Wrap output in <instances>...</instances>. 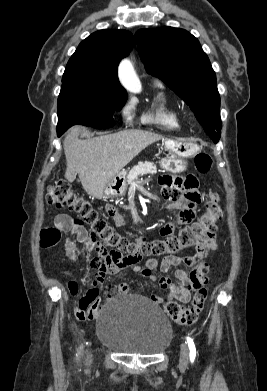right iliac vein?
<instances>
[{
	"label": "right iliac vein",
	"instance_id": "obj_1",
	"mask_svg": "<svg viewBox=\"0 0 267 391\" xmlns=\"http://www.w3.org/2000/svg\"><path fill=\"white\" fill-rule=\"evenodd\" d=\"M87 357H88V360H90L91 359V354L88 353Z\"/></svg>",
	"mask_w": 267,
	"mask_h": 391
}]
</instances>
